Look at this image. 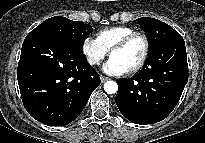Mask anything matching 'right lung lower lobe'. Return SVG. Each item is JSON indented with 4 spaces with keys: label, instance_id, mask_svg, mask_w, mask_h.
Here are the masks:
<instances>
[{
    "label": "right lung lower lobe",
    "instance_id": "1",
    "mask_svg": "<svg viewBox=\"0 0 205 143\" xmlns=\"http://www.w3.org/2000/svg\"><path fill=\"white\" fill-rule=\"evenodd\" d=\"M17 79L27 112L50 126H64L76 119L100 85L99 74L83 51L32 31L22 45Z\"/></svg>",
    "mask_w": 205,
    "mask_h": 143
}]
</instances>
